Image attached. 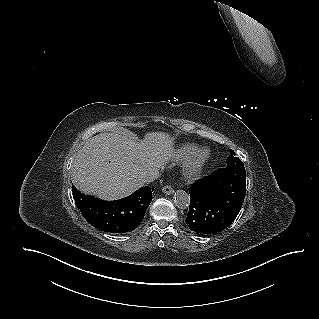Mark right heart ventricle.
Wrapping results in <instances>:
<instances>
[{
	"mask_svg": "<svg viewBox=\"0 0 319 319\" xmlns=\"http://www.w3.org/2000/svg\"><path fill=\"white\" fill-rule=\"evenodd\" d=\"M198 151V147L192 144H186L180 147L176 153L175 157L177 160L184 161L190 159Z\"/></svg>",
	"mask_w": 319,
	"mask_h": 319,
	"instance_id": "obj_1",
	"label": "right heart ventricle"
}]
</instances>
